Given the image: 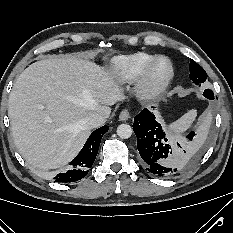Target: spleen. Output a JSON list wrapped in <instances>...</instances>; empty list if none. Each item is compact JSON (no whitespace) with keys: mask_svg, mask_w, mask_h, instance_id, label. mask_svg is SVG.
I'll use <instances>...</instances> for the list:
<instances>
[{"mask_svg":"<svg viewBox=\"0 0 233 233\" xmlns=\"http://www.w3.org/2000/svg\"><path fill=\"white\" fill-rule=\"evenodd\" d=\"M197 116L196 110H190L186 114H184L180 119L168 125L167 129L172 135H179L184 132L195 120Z\"/></svg>","mask_w":233,"mask_h":233,"instance_id":"spleen-1","label":"spleen"}]
</instances>
